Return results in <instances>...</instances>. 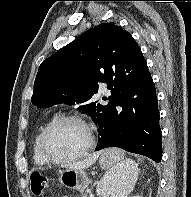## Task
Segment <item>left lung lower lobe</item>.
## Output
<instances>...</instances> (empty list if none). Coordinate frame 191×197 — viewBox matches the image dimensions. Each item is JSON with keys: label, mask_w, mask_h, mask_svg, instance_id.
Returning a JSON list of instances; mask_svg holds the SVG:
<instances>
[{"label": "left lung lower lobe", "mask_w": 191, "mask_h": 197, "mask_svg": "<svg viewBox=\"0 0 191 197\" xmlns=\"http://www.w3.org/2000/svg\"><path fill=\"white\" fill-rule=\"evenodd\" d=\"M125 73L114 78L110 102L93 119L100 128L96 150L119 147L158 163L162 159V133L152 77L147 67Z\"/></svg>", "instance_id": "obj_1"}]
</instances>
